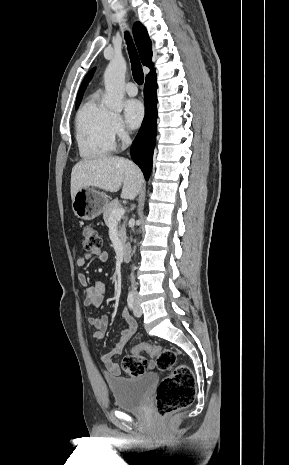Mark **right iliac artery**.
Masks as SVG:
<instances>
[{
	"instance_id": "obj_1",
	"label": "right iliac artery",
	"mask_w": 289,
	"mask_h": 465,
	"mask_svg": "<svg viewBox=\"0 0 289 465\" xmlns=\"http://www.w3.org/2000/svg\"><path fill=\"white\" fill-rule=\"evenodd\" d=\"M127 304H128V307H129L130 310H132L134 308V296H133L132 293L128 294Z\"/></svg>"
}]
</instances>
